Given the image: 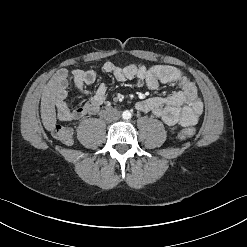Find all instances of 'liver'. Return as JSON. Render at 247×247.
Masks as SVG:
<instances>
[{"label":"liver","instance_id":"liver-1","mask_svg":"<svg viewBox=\"0 0 247 247\" xmlns=\"http://www.w3.org/2000/svg\"><path fill=\"white\" fill-rule=\"evenodd\" d=\"M59 93L58 79L52 77L44 86L41 97V119L46 130L52 131L56 125L55 101Z\"/></svg>","mask_w":247,"mask_h":247}]
</instances>
